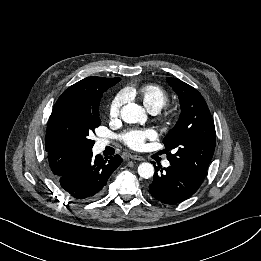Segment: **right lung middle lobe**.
I'll use <instances>...</instances> for the list:
<instances>
[{
	"label": "right lung middle lobe",
	"mask_w": 261,
	"mask_h": 261,
	"mask_svg": "<svg viewBox=\"0 0 261 261\" xmlns=\"http://www.w3.org/2000/svg\"><path fill=\"white\" fill-rule=\"evenodd\" d=\"M119 81L120 79L117 80ZM101 97L102 94L60 97L48 121L46 147L91 151L94 141L89 135L101 124Z\"/></svg>",
	"instance_id": "obj_1"
}]
</instances>
